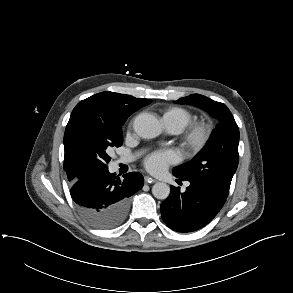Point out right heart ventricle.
Instances as JSON below:
<instances>
[{
  "label": "right heart ventricle",
  "instance_id": "right-heart-ventricle-1",
  "mask_svg": "<svg viewBox=\"0 0 293 293\" xmlns=\"http://www.w3.org/2000/svg\"><path fill=\"white\" fill-rule=\"evenodd\" d=\"M195 119V115L187 108L172 106L162 113V122L166 128H171L175 133L181 132Z\"/></svg>",
  "mask_w": 293,
  "mask_h": 293
}]
</instances>
